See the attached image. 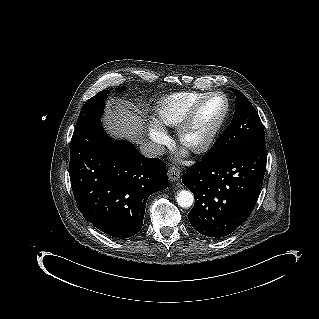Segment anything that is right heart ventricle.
Here are the masks:
<instances>
[{"label": "right heart ventricle", "mask_w": 319, "mask_h": 319, "mask_svg": "<svg viewBox=\"0 0 319 319\" xmlns=\"http://www.w3.org/2000/svg\"><path fill=\"white\" fill-rule=\"evenodd\" d=\"M205 95V93L196 91L169 94L155 106L152 117L162 128L177 127L189 110Z\"/></svg>", "instance_id": "right-heart-ventricle-1"}]
</instances>
